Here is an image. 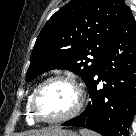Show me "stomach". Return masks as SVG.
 Masks as SVG:
<instances>
[{"label": "stomach", "mask_w": 136, "mask_h": 136, "mask_svg": "<svg viewBox=\"0 0 136 136\" xmlns=\"http://www.w3.org/2000/svg\"><path fill=\"white\" fill-rule=\"evenodd\" d=\"M49 136H79V135L71 130H62L60 128H56L51 132Z\"/></svg>", "instance_id": "1"}]
</instances>
